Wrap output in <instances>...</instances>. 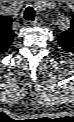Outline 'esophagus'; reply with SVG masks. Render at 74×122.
Segmentation results:
<instances>
[{
  "label": "esophagus",
  "instance_id": "1",
  "mask_svg": "<svg viewBox=\"0 0 74 122\" xmlns=\"http://www.w3.org/2000/svg\"><path fill=\"white\" fill-rule=\"evenodd\" d=\"M42 24L41 18H36L33 22H31V25L33 26H40Z\"/></svg>",
  "mask_w": 74,
  "mask_h": 122
}]
</instances>
